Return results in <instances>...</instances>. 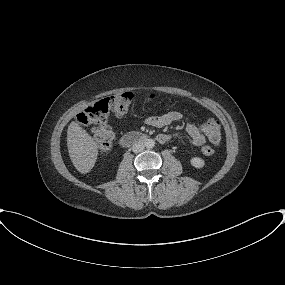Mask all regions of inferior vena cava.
<instances>
[{
  "label": "inferior vena cava",
  "instance_id": "1",
  "mask_svg": "<svg viewBox=\"0 0 285 285\" xmlns=\"http://www.w3.org/2000/svg\"><path fill=\"white\" fill-rule=\"evenodd\" d=\"M145 149V145L141 142H137L132 146V151L134 153H140Z\"/></svg>",
  "mask_w": 285,
  "mask_h": 285
}]
</instances>
